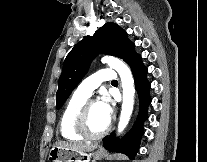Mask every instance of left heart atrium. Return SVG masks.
I'll return each mask as SVG.
<instances>
[{
  "label": "left heart atrium",
  "instance_id": "obj_1",
  "mask_svg": "<svg viewBox=\"0 0 207 162\" xmlns=\"http://www.w3.org/2000/svg\"><path fill=\"white\" fill-rule=\"evenodd\" d=\"M99 104L102 107L107 118L110 120L113 114V103L111 98L108 95H104Z\"/></svg>",
  "mask_w": 207,
  "mask_h": 162
}]
</instances>
